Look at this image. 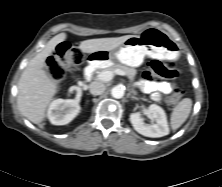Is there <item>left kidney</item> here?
<instances>
[{
  "instance_id": "1",
  "label": "left kidney",
  "mask_w": 222,
  "mask_h": 187,
  "mask_svg": "<svg viewBox=\"0 0 222 187\" xmlns=\"http://www.w3.org/2000/svg\"><path fill=\"white\" fill-rule=\"evenodd\" d=\"M146 114L155 121L153 124H145L140 112L130 115V122L134 129L141 135L158 138L169 134V127L165 111L158 105L152 104Z\"/></svg>"
}]
</instances>
